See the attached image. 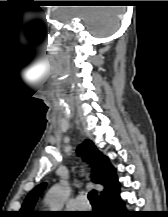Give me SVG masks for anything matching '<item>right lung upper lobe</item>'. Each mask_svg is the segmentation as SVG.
Returning a JSON list of instances; mask_svg holds the SVG:
<instances>
[{
    "label": "right lung upper lobe",
    "mask_w": 168,
    "mask_h": 217,
    "mask_svg": "<svg viewBox=\"0 0 168 217\" xmlns=\"http://www.w3.org/2000/svg\"><path fill=\"white\" fill-rule=\"evenodd\" d=\"M77 153L90 164L92 168V181L104 186L100 201L119 191L120 183L116 176V169L108 162L107 158L96 148L94 143L86 140L77 148ZM46 183L36 186L26 197L19 212L20 217H38L39 212L33 211L38 196L45 189Z\"/></svg>",
    "instance_id": "cb5924a9"
}]
</instances>
